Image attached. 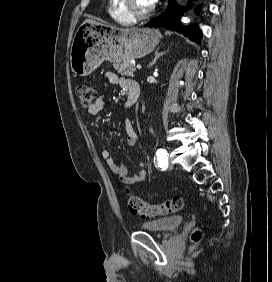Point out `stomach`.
<instances>
[{"mask_svg": "<svg viewBox=\"0 0 272 282\" xmlns=\"http://www.w3.org/2000/svg\"><path fill=\"white\" fill-rule=\"evenodd\" d=\"M159 37L152 29H121L102 23H83L70 50V66L76 76L92 73L105 60L120 63L151 53Z\"/></svg>", "mask_w": 272, "mask_h": 282, "instance_id": "1", "label": "stomach"}]
</instances>
